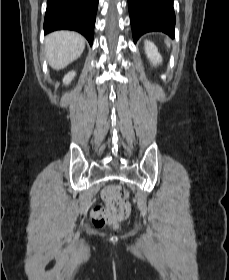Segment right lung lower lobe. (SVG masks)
Returning a JSON list of instances; mask_svg holds the SVG:
<instances>
[{
  "mask_svg": "<svg viewBox=\"0 0 229 280\" xmlns=\"http://www.w3.org/2000/svg\"><path fill=\"white\" fill-rule=\"evenodd\" d=\"M98 0H47L44 33L74 30L93 43Z\"/></svg>",
  "mask_w": 229,
  "mask_h": 280,
  "instance_id": "right-lung-lower-lobe-1",
  "label": "right lung lower lobe"
}]
</instances>
